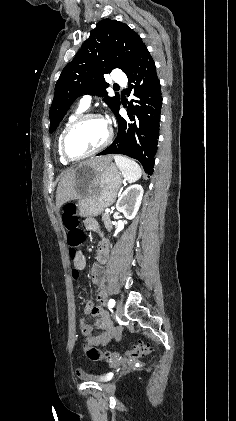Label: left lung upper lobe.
<instances>
[{
  "mask_svg": "<svg viewBox=\"0 0 236 421\" xmlns=\"http://www.w3.org/2000/svg\"><path fill=\"white\" fill-rule=\"evenodd\" d=\"M142 44L140 36L125 23L101 20L75 58L63 69L56 83L49 112V132L56 130L70 105L82 94L104 96V101L115 113L121 99L118 95L107 96L105 88L109 84L104 74H109L115 68L125 73Z\"/></svg>",
  "mask_w": 236,
  "mask_h": 421,
  "instance_id": "5c2ea615",
  "label": "left lung upper lobe"
}]
</instances>
